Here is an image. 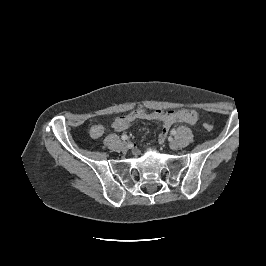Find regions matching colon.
<instances>
[{"mask_svg":"<svg viewBox=\"0 0 266 266\" xmlns=\"http://www.w3.org/2000/svg\"><path fill=\"white\" fill-rule=\"evenodd\" d=\"M137 111L139 113L162 112L161 110L147 111V110H144V109H137ZM203 127L207 131H211L213 129V126L211 124H209V123H204Z\"/></svg>","mask_w":266,"mask_h":266,"instance_id":"1","label":"colon"}]
</instances>
